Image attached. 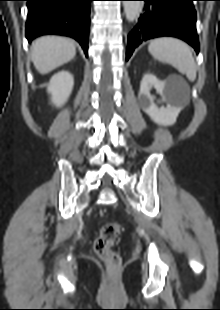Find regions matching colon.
Returning <instances> with one entry per match:
<instances>
[{
  "mask_svg": "<svg viewBox=\"0 0 220 310\" xmlns=\"http://www.w3.org/2000/svg\"><path fill=\"white\" fill-rule=\"evenodd\" d=\"M121 239V227L118 223H107L102 226L94 242L96 254L108 265L111 271L119 269L120 256L113 250Z\"/></svg>",
  "mask_w": 220,
  "mask_h": 310,
  "instance_id": "colon-1",
  "label": "colon"
}]
</instances>
